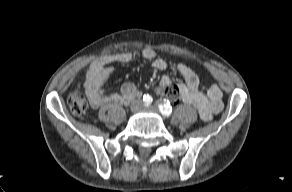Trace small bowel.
I'll return each instance as SVG.
<instances>
[{"label": "small bowel", "mask_w": 292, "mask_h": 192, "mask_svg": "<svg viewBox=\"0 0 292 192\" xmlns=\"http://www.w3.org/2000/svg\"><path fill=\"white\" fill-rule=\"evenodd\" d=\"M155 57V51L148 47L141 51L116 54L107 58L104 62L92 63L86 72L84 83L90 105L93 108L108 103L126 105L133 98L140 96V92L132 83L123 84L119 92L113 93H105L102 87L113 74V63L115 62L128 63L141 58L151 60L152 66L157 70L167 69L168 63L164 59ZM177 69L184 78V83L172 86L170 78L164 76L161 79V86L173 88L178 98L196 108L203 121L211 120L213 115L219 113L223 108L222 91L218 85L211 84L206 94H203L199 91V78L193 69L185 64H179Z\"/></svg>", "instance_id": "obj_1"}]
</instances>
